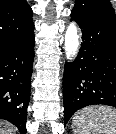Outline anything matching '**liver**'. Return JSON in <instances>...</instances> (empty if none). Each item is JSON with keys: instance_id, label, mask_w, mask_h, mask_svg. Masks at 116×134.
Segmentation results:
<instances>
[{"instance_id": "1", "label": "liver", "mask_w": 116, "mask_h": 134, "mask_svg": "<svg viewBox=\"0 0 116 134\" xmlns=\"http://www.w3.org/2000/svg\"><path fill=\"white\" fill-rule=\"evenodd\" d=\"M15 128L8 123L0 122V134H15Z\"/></svg>"}]
</instances>
